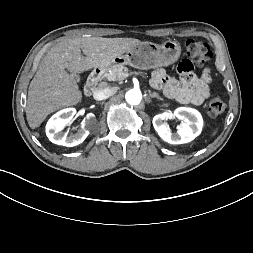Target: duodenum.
<instances>
[{"mask_svg":"<svg viewBox=\"0 0 253 253\" xmlns=\"http://www.w3.org/2000/svg\"><path fill=\"white\" fill-rule=\"evenodd\" d=\"M103 73H104V69L99 67V68H96L92 73L91 75L89 76L86 84H85V87H84V95L85 96H90L94 90L96 89L101 77L103 76Z\"/></svg>","mask_w":253,"mask_h":253,"instance_id":"obj_1","label":"duodenum"}]
</instances>
